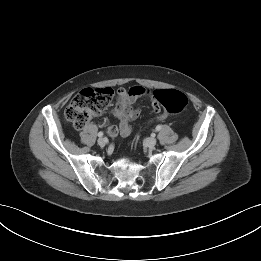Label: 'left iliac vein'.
Listing matches in <instances>:
<instances>
[{
	"mask_svg": "<svg viewBox=\"0 0 261 261\" xmlns=\"http://www.w3.org/2000/svg\"><path fill=\"white\" fill-rule=\"evenodd\" d=\"M156 143H157V140H156V138H154V137H150V138H147V139L145 140V144H146L148 147H154V146L156 145Z\"/></svg>",
	"mask_w": 261,
	"mask_h": 261,
	"instance_id": "4c4485c4",
	"label": "left iliac vein"
}]
</instances>
